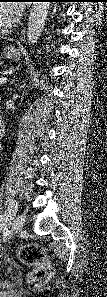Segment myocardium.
<instances>
[{"instance_id": "obj_1", "label": "myocardium", "mask_w": 107, "mask_h": 297, "mask_svg": "<svg viewBox=\"0 0 107 297\" xmlns=\"http://www.w3.org/2000/svg\"><path fill=\"white\" fill-rule=\"evenodd\" d=\"M15 25V22L12 21L7 25L0 26V34L9 32Z\"/></svg>"}]
</instances>
